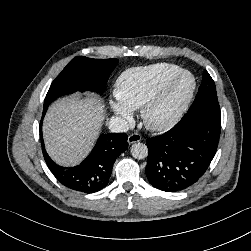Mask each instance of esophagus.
Segmentation results:
<instances>
[{"mask_svg":"<svg viewBox=\"0 0 251 251\" xmlns=\"http://www.w3.org/2000/svg\"><path fill=\"white\" fill-rule=\"evenodd\" d=\"M141 140V135L138 133H132L128 136V143L133 144Z\"/></svg>","mask_w":251,"mask_h":251,"instance_id":"esophagus-1","label":"esophagus"}]
</instances>
